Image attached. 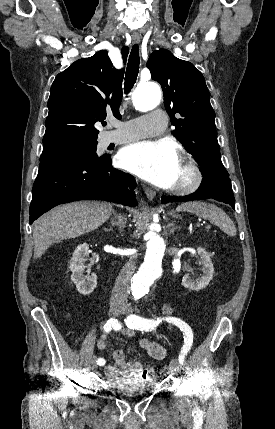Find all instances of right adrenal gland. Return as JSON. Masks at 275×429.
Returning <instances> with one entry per match:
<instances>
[{
    "mask_svg": "<svg viewBox=\"0 0 275 429\" xmlns=\"http://www.w3.org/2000/svg\"><path fill=\"white\" fill-rule=\"evenodd\" d=\"M110 221H111L112 227L117 226L120 234H122L126 224L125 216L113 210V217L110 219Z\"/></svg>",
    "mask_w": 275,
    "mask_h": 429,
    "instance_id": "1",
    "label": "right adrenal gland"
}]
</instances>
